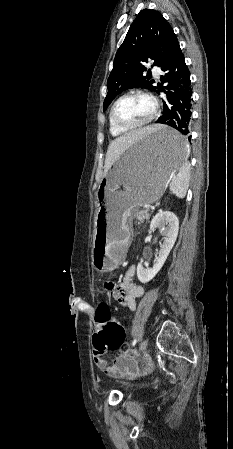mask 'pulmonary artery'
Returning a JSON list of instances; mask_svg holds the SVG:
<instances>
[{"label":"pulmonary artery","instance_id":"1","mask_svg":"<svg viewBox=\"0 0 233 449\" xmlns=\"http://www.w3.org/2000/svg\"><path fill=\"white\" fill-rule=\"evenodd\" d=\"M153 72H154V74H155L156 77H159V75H160V73H161L160 69L157 68V67L153 68Z\"/></svg>","mask_w":233,"mask_h":449}]
</instances>
